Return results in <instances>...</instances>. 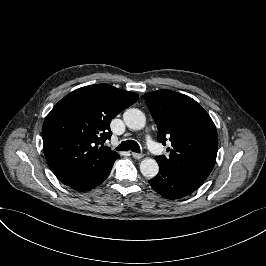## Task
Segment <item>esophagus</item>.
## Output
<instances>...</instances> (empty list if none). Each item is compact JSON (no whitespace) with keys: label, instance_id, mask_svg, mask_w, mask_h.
I'll return each mask as SVG.
<instances>
[{"label":"esophagus","instance_id":"1","mask_svg":"<svg viewBox=\"0 0 266 266\" xmlns=\"http://www.w3.org/2000/svg\"><path fill=\"white\" fill-rule=\"evenodd\" d=\"M132 156H133L135 159H141V158L143 157L142 154L135 153V152H132Z\"/></svg>","mask_w":266,"mask_h":266}]
</instances>
